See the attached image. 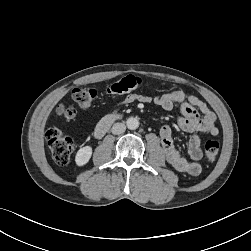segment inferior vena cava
Instances as JSON below:
<instances>
[{"label":"inferior vena cava","instance_id":"1","mask_svg":"<svg viewBox=\"0 0 251 251\" xmlns=\"http://www.w3.org/2000/svg\"><path fill=\"white\" fill-rule=\"evenodd\" d=\"M126 130V126L125 124L123 123H115L112 128H111V132L114 134V135H119V134H122L124 133Z\"/></svg>","mask_w":251,"mask_h":251}]
</instances>
